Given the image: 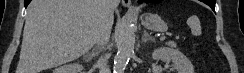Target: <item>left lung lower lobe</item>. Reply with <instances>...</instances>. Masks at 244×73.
Segmentation results:
<instances>
[{"instance_id":"obj_1","label":"left lung lower lobe","mask_w":244,"mask_h":73,"mask_svg":"<svg viewBox=\"0 0 244 73\" xmlns=\"http://www.w3.org/2000/svg\"><path fill=\"white\" fill-rule=\"evenodd\" d=\"M141 2L144 1L145 3H151V2H157L159 0H140ZM202 2H204L205 4L209 5L212 10L215 11V2L216 0H201Z\"/></svg>"}]
</instances>
